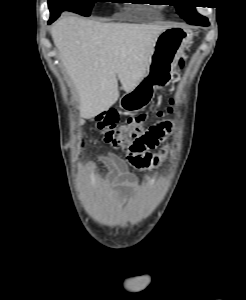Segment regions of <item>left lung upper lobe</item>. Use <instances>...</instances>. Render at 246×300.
I'll list each match as a JSON object with an SVG mask.
<instances>
[{
    "label": "left lung upper lobe",
    "mask_w": 246,
    "mask_h": 300,
    "mask_svg": "<svg viewBox=\"0 0 246 300\" xmlns=\"http://www.w3.org/2000/svg\"><path fill=\"white\" fill-rule=\"evenodd\" d=\"M199 1L195 0H184V4L180 6H176L178 14L184 18L188 24L192 25H201L208 26V19L200 14H198L195 10L194 4Z\"/></svg>",
    "instance_id": "left-lung-upper-lobe-1"
}]
</instances>
